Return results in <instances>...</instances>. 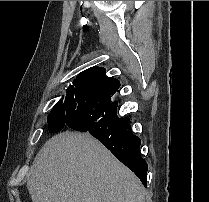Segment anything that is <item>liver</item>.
Instances as JSON below:
<instances>
[{
    "label": "liver",
    "instance_id": "obj_1",
    "mask_svg": "<svg viewBox=\"0 0 209 202\" xmlns=\"http://www.w3.org/2000/svg\"><path fill=\"white\" fill-rule=\"evenodd\" d=\"M33 202H145L139 179L87 133L65 131L38 152L27 178Z\"/></svg>",
    "mask_w": 209,
    "mask_h": 202
}]
</instances>
